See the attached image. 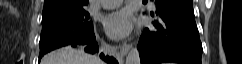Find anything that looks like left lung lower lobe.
<instances>
[{
	"label": "left lung lower lobe",
	"mask_w": 242,
	"mask_h": 64,
	"mask_svg": "<svg viewBox=\"0 0 242 64\" xmlns=\"http://www.w3.org/2000/svg\"><path fill=\"white\" fill-rule=\"evenodd\" d=\"M156 14L139 40L141 64H201L203 49L192 0H159Z\"/></svg>",
	"instance_id": "obj_1"
}]
</instances>
